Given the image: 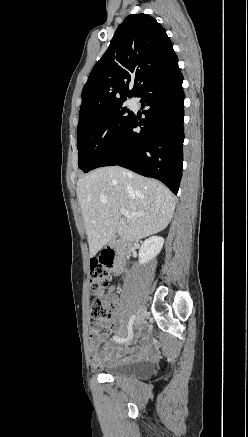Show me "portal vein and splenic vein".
I'll use <instances>...</instances> for the list:
<instances>
[{"instance_id":"1","label":"portal vein and splenic vein","mask_w":248,"mask_h":437,"mask_svg":"<svg viewBox=\"0 0 248 437\" xmlns=\"http://www.w3.org/2000/svg\"><path fill=\"white\" fill-rule=\"evenodd\" d=\"M120 213L121 215L125 216V217H134V216H141L143 214H130L127 210L121 208L120 209Z\"/></svg>"}]
</instances>
